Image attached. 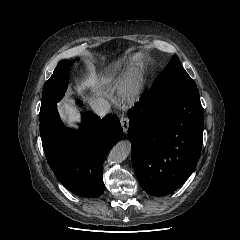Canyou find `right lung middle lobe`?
<instances>
[{
	"instance_id": "1",
	"label": "right lung middle lobe",
	"mask_w": 240,
	"mask_h": 240,
	"mask_svg": "<svg viewBox=\"0 0 240 240\" xmlns=\"http://www.w3.org/2000/svg\"><path fill=\"white\" fill-rule=\"evenodd\" d=\"M76 60H62L55 68L53 75L46 82L41 101L39 121L45 119L47 115L56 108L68 86L69 69Z\"/></svg>"
}]
</instances>
